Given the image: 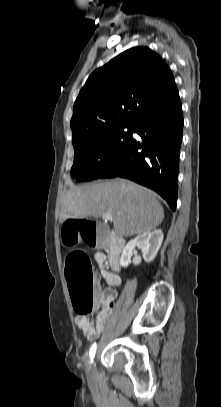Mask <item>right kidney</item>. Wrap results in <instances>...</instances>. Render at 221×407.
<instances>
[{"instance_id":"1","label":"right kidney","mask_w":221,"mask_h":407,"mask_svg":"<svg viewBox=\"0 0 221 407\" xmlns=\"http://www.w3.org/2000/svg\"><path fill=\"white\" fill-rule=\"evenodd\" d=\"M162 241L163 232L159 229L138 235L134 240L129 241L124 247L120 258V265L127 267L131 263L132 252L136 246L141 248L145 262H151L157 255ZM136 261L140 262V260Z\"/></svg>"}]
</instances>
